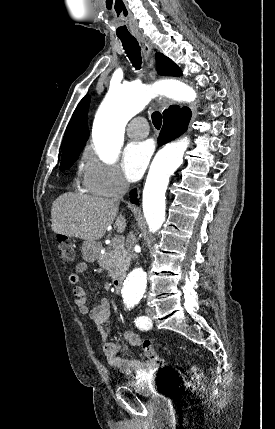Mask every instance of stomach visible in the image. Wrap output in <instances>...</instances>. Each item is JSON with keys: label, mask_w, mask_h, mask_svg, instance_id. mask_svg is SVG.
Wrapping results in <instances>:
<instances>
[{"label": "stomach", "mask_w": 275, "mask_h": 429, "mask_svg": "<svg viewBox=\"0 0 275 429\" xmlns=\"http://www.w3.org/2000/svg\"><path fill=\"white\" fill-rule=\"evenodd\" d=\"M100 244L96 241H84L82 244L83 258L88 262H94L99 257Z\"/></svg>", "instance_id": "stomach-1"}]
</instances>
